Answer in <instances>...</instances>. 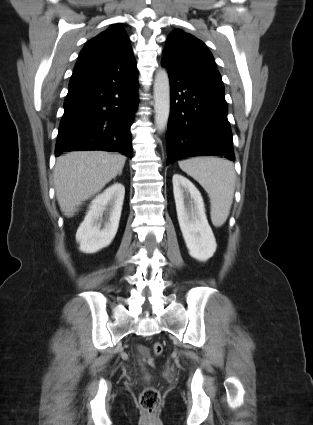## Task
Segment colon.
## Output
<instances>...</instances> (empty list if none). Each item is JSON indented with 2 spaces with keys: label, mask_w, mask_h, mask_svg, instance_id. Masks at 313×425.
I'll use <instances>...</instances> for the list:
<instances>
[{
  "label": "colon",
  "mask_w": 313,
  "mask_h": 425,
  "mask_svg": "<svg viewBox=\"0 0 313 425\" xmlns=\"http://www.w3.org/2000/svg\"><path fill=\"white\" fill-rule=\"evenodd\" d=\"M163 352V345L160 342H155L153 344V353L158 356ZM140 407L144 413L148 416H154L160 406L161 397L159 391L153 387H146L140 395Z\"/></svg>",
  "instance_id": "obj_1"
}]
</instances>
